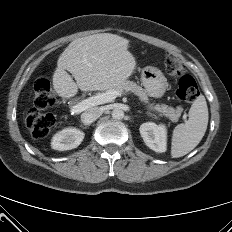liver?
Returning <instances> with one entry per match:
<instances>
[{
    "mask_svg": "<svg viewBox=\"0 0 232 232\" xmlns=\"http://www.w3.org/2000/svg\"><path fill=\"white\" fill-rule=\"evenodd\" d=\"M128 45L129 40L111 33L72 41L58 58L53 74L55 92L68 99L74 97L78 89L105 91L126 81L136 67Z\"/></svg>",
    "mask_w": 232,
    "mask_h": 232,
    "instance_id": "6515ba94",
    "label": "liver"
}]
</instances>
